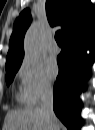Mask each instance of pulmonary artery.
I'll list each match as a JSON object with an SVG mask.
<instances>
[{"mask_svg": "<svg viewBox=\"0 0 95 130\" xmlns=\"http://www.w3.org/2000/svg\"><path fill=\"white\" fill-rule=\"evenodd\" d=\"M48 51L52 54H57L59 52V46L55 41H52L48 44Z\"/></svg>", "mask_w": 95, "mask_h": 130, "instance_id": "pulmonary-artery-1", "label": "pulmonary artery"}]
</instances>
